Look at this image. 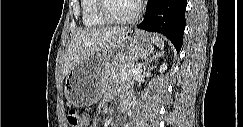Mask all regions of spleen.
I'll list each match as a JSON object with an SVG mask.
<instances>
[{
  "mask_svg": "<svg viewBox=\"0 0 243 127\" xmlns=\"http://www.w3.org/2000/svg\"><path fill=\"white\" fill-rule=\"evenodd\" d=\"M154 43L162 50L163 55L164 41L162 40V38H160L159 36H155Z\"/></svg>",
  "mask_w": 243,
  "mask_h": 127,
  "instance_id": "spleen-1",
  "label": "spleen"
}]
</instances>
